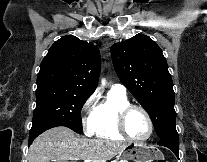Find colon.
Returning a JSON list of instances; mask_svg holds the SVG:
<instances>
[{
  "mask_svg": "<svg viewBox=\"0 0 207 162\" xmlns=\"http://www.w3.org/2000/svg\"><path fill=\"white\" fill-rule=\"evenodd\" d=\"M157 162H169L167 160H158Z\"/></svg>",
  "mask_w": 207,
  "mask_h": 162,
  "instance_id": "obj_1",
  "label": "colon"
}]
</instances>
